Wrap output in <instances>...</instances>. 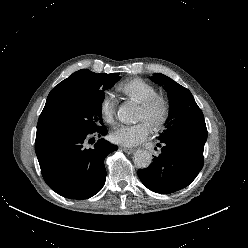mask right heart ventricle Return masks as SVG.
<instances>
[{
    "mask_svg": "<svg viewBox=\"0 0 248 248\" xmlns=\"http://www.w3.org/2000/svg\"><path fill=\"white\" fill-rule=\"evenodd\" d=\"M118 90L137 103H141L157 94V90L153 85L138 78L121 83Z\"/></svg>",
    "mask_w": 248,
    "mask_h": 248,
    "instance_id": "obj_1",
    "label": "right heart ventricle"
}]
</instances>
